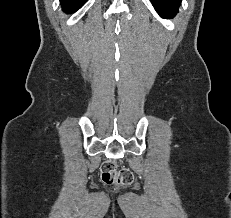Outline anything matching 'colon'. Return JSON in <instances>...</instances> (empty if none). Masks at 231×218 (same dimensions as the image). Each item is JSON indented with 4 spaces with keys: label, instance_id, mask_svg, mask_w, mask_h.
Instances as JSON below:
<instances>
[{
    "label": "colon",
    "instance_id": "obj_1",
    "mask_svg": "<svg viewBox=\"0 0 231 218\" xmlns=\"http://www.w3.org/2000/svg\"><path fill=\"white\" fill-rule=\"evenodd\" d=\"M100 171L102 181L109 185H130L134 179L130 169L118 168L117 164L112 160L103 162Z\"/></svg>",
    "mask_w": 231,
    "mask_h": 218
}]
</instances>
